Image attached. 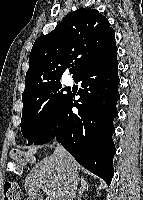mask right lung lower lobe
I'll return each instance as SVG.
<instances>
[{"instance_id": "right-lung-lower-lobe-1", "label": "right lung lower lobe", "mask_w": 143, "mask_h": 200, "mask_svg": "<svg viewBox=\"0 0 143 200\" xmlns=\"http://www.w3.org/2000/svg\"><path fill=\"white\" fill-rule=\"evenodd\" d=\"M74 80L81 82L80 98L74 101L69 95L33 144L57 139L77 162L109 185L116 152L113 119L120 98L117 47L84 67Z\"/></svg>"}]
</instances>
